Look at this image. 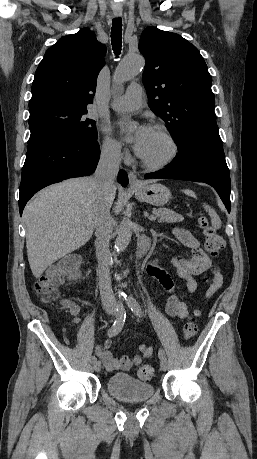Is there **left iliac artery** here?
I'll use <instances>...</instances> for the list:
<instances>
[{"label": "left iliac artery", "instance_id": "1", "mask_svg": "<svg viewBox=\"0 0 257 459\" xmlns=\"http://www.w3.org/2000/svg\"><path fill=\"white\" fill-rule=\"evenodd\" d=\"M125 299L127 301L128 307L131 309V311L136 316L142 317L143 312H142V309H141L140 305L138 304V302L132 296H128V297L125 296ZM158 356H159L160 359L166 358L165 352H164V350L162 348L159 349Z\"/></svg>", "mask_w": 257, "mask_h": 459}]
</instances>
